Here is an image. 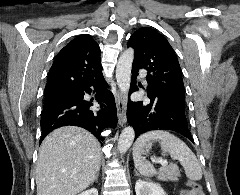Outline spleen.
I'll list each match as a JSON object with an SVG mask.
<instances>
[{
    "mask_svg": "<svg viewBox=\"0 0 240 195\" xmlns=\"http://www.w3.org/2000/svg\"><path fill=\"white\" fill-rule=\"evenodd\" d=\"M151 139L160 141L162 155H170L172 159H179L189 179H193V181L201 179L202 169L195 153L191 151L190 147H188L182 139H179V137H176L173 133H169V131H165V129L146 131V133H142V135H139L138 139H136L133 147V161L136 169H138L142 175L152 177V175L156 173L154 165H152L150 161H147V159L141 155L140 151V145H143L145 141H151Z\"/></svg>",
    "mask_w": 240,
    "mask_h": 195,
    "instance_id": "spleen-1",
    "label": "spleen"
}]
</instances>
